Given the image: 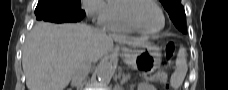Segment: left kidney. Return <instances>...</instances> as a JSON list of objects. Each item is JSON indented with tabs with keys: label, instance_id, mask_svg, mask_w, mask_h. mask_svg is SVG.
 <instances>
[{
	"label": "left kidney",
	"instance_id": "left-kidney-1",
	"mask_svg": "<svg viewBox=\"0 0 228 90\" xmlns=\"http://www.w3.org/2000/svg\"><path fill=\"white\" fill-rule=\"evenodd\" d=\"M138 90H156V88L150 84L141 83L138 85Z\"/></svg>",
	"mask_w": 228,
	"mask_h": 90
}]
</instances>
